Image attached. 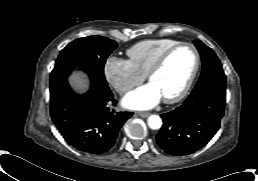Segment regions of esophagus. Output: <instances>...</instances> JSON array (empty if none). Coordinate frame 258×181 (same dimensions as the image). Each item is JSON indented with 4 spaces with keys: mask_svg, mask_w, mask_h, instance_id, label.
<instances>
[{
    "mask_svg": "<svg viewBox=\"0 0 258 181\" xmlns=\"http://www.w3.org/2000/svg\"><path fill=\"white\" fill-rule=\"evenodd\" d=\"M138 115L140 117H142V118H146V117H148L150 115V113H148V112H140V113H138Z\"/></svg>",
    "mask_w": 258,
    "mask_h": 181,
    "instance_id": "esophagus-1",
    "label": "esophagus"
}]
</instances>
